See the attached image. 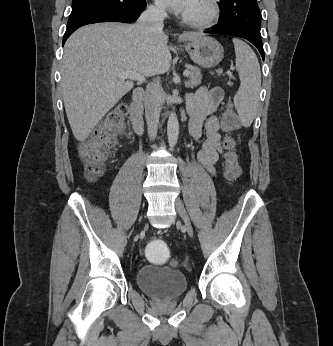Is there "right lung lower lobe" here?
<instances>
[{
  "mask_svg": "<svg viewBox=\"0 0 333 346\" xmlns=\"http://www.w3.org/2000/svg\"><path fill=\"white\" fill-rule=\"evenodd\" d=\"M146 7L145 0H138L137 4L126 10L119 11L114 9H94L90 11L81 12L72 18H69L67 23L66 32L63 37V44L67 38L79 27L99 23V22H123L132 23L134 22L141 12Z\"/></svg>",
  "mask_w": 333,
  "mask_h": 346,
  "instance_id": "1",
  "label": "right lung lower lobe"
}]
</instances>
